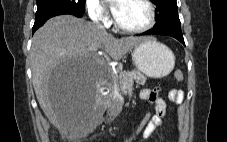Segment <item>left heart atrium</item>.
<instances>
[{"instance_id":"obj_1","label":"left heart atrium","mask_w":227,"mask_h":142,"mask_svg":"<svg viewBox=\"0 0 227 142\" xmlns=\"http://www.w3.org/2000/svg\"><path fill=\"white\" fill-rule=\"evenodd\" d=\"M108 1L110 3L112 13L116 17L121 10L124 0H108Z\"/></svg>"}]
</instances>
